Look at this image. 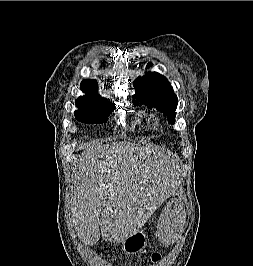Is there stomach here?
Masks as SVG:
<instances>
[{"label":"stomach","mask_w":253,"mask_h":266,"mask_svg":"<svg viewBox=\"0 0 253 266\" xmlns=\"http://www.w3.org/2000/svg\"><path fill=\"white\" fill-rule=\"evenodd\" d=\"M158 236V235H157ZM147 244V237L143 230H138L122 243V250L126 254H137L143 251Z\"/></svg>","instance_id":"1"}]
</instances>
